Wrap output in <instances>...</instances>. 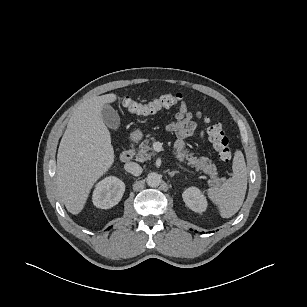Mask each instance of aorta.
Listing matches in <instances>:
<instances>
[{"mask_svg": "<svg viewBox=\"0 0 307 307\" xmlns=\"http://www.w3.org/2000/svg\"><path fill=\"white\" fill-rule=\"evenodd\" d=\"M146 182L150 187H158L161 183V177L156 172H151L147 175Z\"/></svg>", "mask_w": 307, "mask_h": 307, "instance_id": "obj_1", "label": "aorta"}]
</instances>
